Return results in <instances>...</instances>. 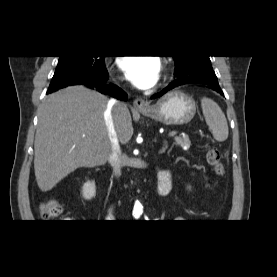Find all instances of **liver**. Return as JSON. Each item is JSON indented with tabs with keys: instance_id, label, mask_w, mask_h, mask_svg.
I'll list each match as a JSON object with an SVG mask.
<instances>
[{
	"instance_id": "obj_1",
	"label": "liver",
	"mask_w": 277,
	"mask_h": 277,
	"mask_svg": "<svg viewBox=\"0 0 277 277\" xmlns=\"http://www.w3.org/2000/svg\"><path fill=\"white\" fill-rule=\"evenodd\" d=\"M107 98L84 86H70L49 95L38 110L34 142V170L41 191L51 190L80 167L104 165L111 152L104 112ZM119 141L133 135L131 115L125 106L113 110Z\"/></svg>"
}]
</instances>
